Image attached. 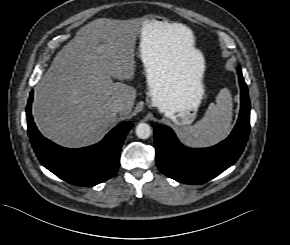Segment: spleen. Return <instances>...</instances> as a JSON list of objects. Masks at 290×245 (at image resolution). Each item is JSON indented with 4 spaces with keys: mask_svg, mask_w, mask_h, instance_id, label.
<instances>
[{
    "mask_svg": "<svg viewBox=\"0 0 290 245\" xmlns=\"http://www.w3.org/2000/svg\"><path fill=\"white\" fill-rule=\"evenodd\" d=\"M232 121V97L227 88L220 90L216 103H211L204 117L193 126L177 129L179 137L188 145L205 147L224 139Z\"/></svg>",
    "mask_w": 290,
    "mask_h": 245,
    "instance_id": "obj_1",
    "label": "spleen"
}]
</instances>
